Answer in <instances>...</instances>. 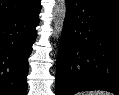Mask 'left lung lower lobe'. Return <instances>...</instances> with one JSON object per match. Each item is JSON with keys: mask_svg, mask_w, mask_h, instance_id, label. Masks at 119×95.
<instances>
[{"mask_svg": "<svg viewBox=\"0 0 119 95\" xmlns=\"http://www.w3.org/2000/svg\"><path fill=\"white\" fill-rule=\"evenodd\" d=\"M56 95L105 90L119 95V8L66 0Z\"/></svg>", "mask_w": 119, "mask_h": 95, "instance_id": "1", "label": "left lung lower lobe"}]
</instances>
